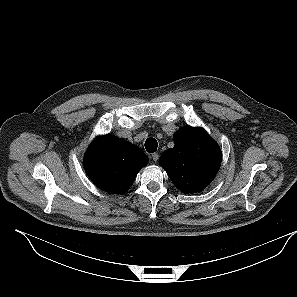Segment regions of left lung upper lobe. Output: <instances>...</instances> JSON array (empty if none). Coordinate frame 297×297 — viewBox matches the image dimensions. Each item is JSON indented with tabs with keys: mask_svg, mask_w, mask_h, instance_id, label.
Masks as SVG:
<instances>
[{
	"mask_svg": "<svg viewBox=\"0 0 297 297\" xmlns=\"http://www.w3.org/2000/svg\"><path fill=\"white\" fill-rule=\"evenodd\" d=\"M175 146L159 159L174 185L185 193L203 190L221 164L218 144L202 128L187 126L174 135Z\"/></svg>",
	"mask_w": 297,
	"mask_h": 297,
	"instance_id": "1",
	"label": "left lung upper lobe"
}]
</instances>
